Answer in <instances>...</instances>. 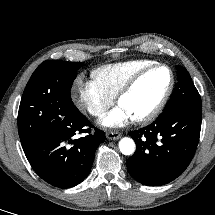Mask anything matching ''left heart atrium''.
<instances>
[{
	"instance_id": "39dd6f15",
	"label": "left heart atrium",
	"mask_w": 215,
	"mask_h": 215,
	"mask_svg": "<svg viewBox=\"0 0 215 215\" xmlns=\"http://www.w3.org/2000/svg\"><path fill=\"white\" fill-rule=\"evenodd\" d=\"M133 120L131 114L121 105H118L100 120V124L106 128H118L127 125Z\"/></svg>"
}]
</instances>
